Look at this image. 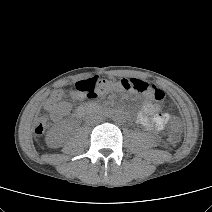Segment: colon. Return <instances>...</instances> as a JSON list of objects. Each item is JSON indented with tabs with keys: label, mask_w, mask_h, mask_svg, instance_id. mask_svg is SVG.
<instances>
[{
	"label": "colon",
	"mask_w": 212,
	"mask_h": 212,
	"mask_svg": "<svg viewBox=\"0 0 212 212\" xmlns=\"http://www.w3.org/2000/svg\"><path fill=\"white\" fill-rule=\"evenodd\" d=\"M75 90L81 94H84L88 98H94L99 93L111 91L118 93L120 91L127 92H140L144 93L156 101H162L165 97L164 91L154 84H150L147 81L132 78H119L117 80L111 79L109 81L100 79L98 76H93L88 79H84L75 83ZM47 127V121L44 118L39 119L35 124V133L41 135L44 133ZM179 123L175 121L173 130L177 132ZM175 139V136L172 137Z\"/></svg>",
	"instance_id": "obj_1"
}]
</instances>
